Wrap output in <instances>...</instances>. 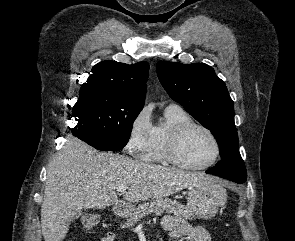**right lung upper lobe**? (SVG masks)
<instances>
[{"instance_id": "1", "label": "right lung upper lobe", "mask_w": 295, "mask_h": 241, "mask_svg": "<svg viewBox=\"0 0 295 241\" xmlns=\"http://www.w3.org/2000/svg\"><path fill=\"white\" fill-rule=\"evenodd\" d=\"M149 64L145 61L132 65L103 61L92 68L87 82L82 84L80 97L89 92L102 91L131 103L144 105Z\"/></svg>"}]
</instances>
